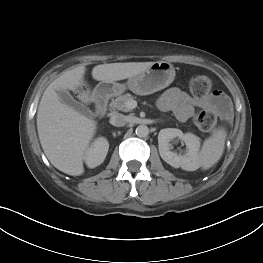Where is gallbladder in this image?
<instances>
[{
    "label": "gallbladder",
    "instance_id": "1",
    "mask_svg": "<svg viewBox=\"0 0 263 263\" xmlns=\"http://www.w3.org/2000/svg\"><path fill=\"white\" fill-rule=\"evenodd\" d=\"M57 94L63 104L84 115H88L90 113V110L81 102L76 101L67 90H58Z\"/></svg>",
    "mask_w": 263,
    "mask_h": 263
}]
</instances>
